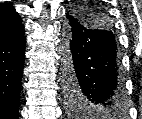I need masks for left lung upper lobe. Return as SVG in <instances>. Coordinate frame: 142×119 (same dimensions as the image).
Here are the masks:
<instances>
[{"mask_svg": "<svg viewBox=\"0 0 142 119\" xmlns=\"http://www.w3.org/2000/svg\"><path fill=\"white\" fill-rule=\"evenodd\" d=\"M73 17V16H72ZM77 17H79L77 15ZM74 18V17H73ZM91 17H88V16H85L84 15V18L83 19H80V21L82 23H86L88 26H93V27H96V26H99L101 25L100 27H103L102 25H106L107 23V20L104 16L100 15V14H97L94 18L90 19ZM76 19V18H75ZM78 21V20H77Z\"/></svg>", "mask_w": 142, "mask_h": 119, "instance_id": "5c2ea615", "label": "left lung upper lobe"}]
</instances>
